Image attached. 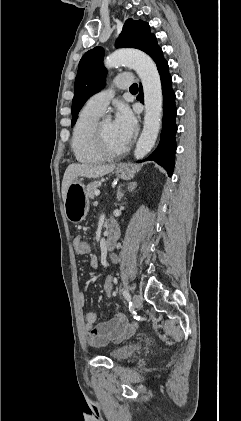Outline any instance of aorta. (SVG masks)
Segmentation results:
<instances>
[{
	"instance_id": "aorta-1",
	"label": "aorta",
	"mask_w": 241,
	"mask_h": 421,
	"mask_svg": "<svg viewBox=\"0 0 241 421\" xmlns=\"http://www.w3.org/2000/svg\"><path fill=\"white\" fill-rule=\"evenodd\" d=\"M104 64L107 68L127 65L139 75L144 91L145 117L143 131L137 142L134 157L144 158L155 145L162 118V86L160 75L153 60L137 49H120L109 55Z\"/></svg>"
}]
</instances>
